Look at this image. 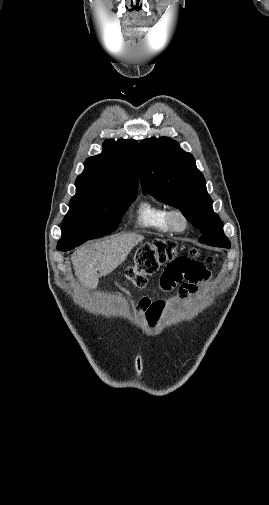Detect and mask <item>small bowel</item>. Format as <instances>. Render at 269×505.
<instances>
[{"instance_id":"small-bowel-1","label":"small bowel","mask_w":269,"mask_h":505,"mask_svg":"<svg viewBox=\"0 0 269 505\" xmlns=\"http://www.w3.org/2000/svg\"><path fill=\"white\" fill-rule=\"evenodd\" d=\"M210 271L204 260L194 259H170L168 264L162 266V273L159 275L160 286L154 299H144L142 306L147 308L148 317L152 322L159 316V312L165 310V293H180L186 297L188 293L196 290V284L202 281L203 285H209ZM182 283L181 288L177 284Z\"/></svg>"}]
</instances>
